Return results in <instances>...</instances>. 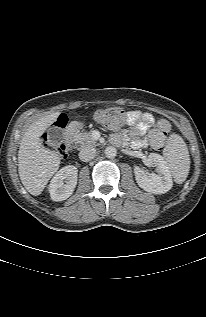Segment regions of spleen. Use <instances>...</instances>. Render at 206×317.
Returning a JSON list of instances; mask_svg holds the SVG:
<instances>
[{
	"mask_svg": "<svg viewBox=\"0 0 206 317\" xmlns=\"http://www.w3.org/2000/svg\"><path fill=\"white\" fill-rule=\"evenodd\" d=\"M163 158L174 181L182 184L189 173L190 158L188 148L180 135L172 133L169 136L163 151Z\"/></svg>",
	"mask_w": 206,
	"mask_h": 317,
	"instance_id": "3e777b00",
	"label": "spleen"
}]
</instances>
